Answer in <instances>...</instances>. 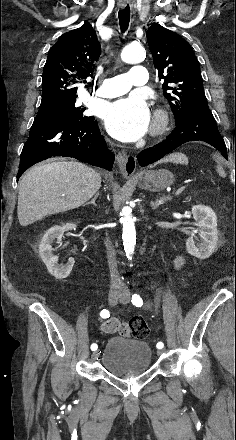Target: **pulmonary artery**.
<instances>
[{"instance_id":"pulmonary-artery-1","label":"pulmonary artery","mask_w":236,"mask_h":440,"mask_svg":"<svg viewBox=\"0 0 236 440\" xmlns=\"http://www.w3.org/2000/svg\"><path fill=\"white\" fill-rule=\"evenodd\" d=\"M147 82V69L142 65H135L127 73L105 79L96 95L104 98L120 96L133 87L145 86Z\"/></svg>"}]
</instances>
